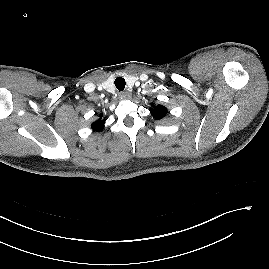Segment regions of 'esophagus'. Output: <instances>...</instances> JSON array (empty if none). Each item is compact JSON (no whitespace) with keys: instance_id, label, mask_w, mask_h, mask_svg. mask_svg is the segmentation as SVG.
I'll return each instance as SVG.
<instances>
[{"instance_id":"obj_1","label":"esophagus","mask_w":269,"mask_h":269,"mask_svg":"<svg viewBox=\"0 0 269 269\" xmlns=\"http://www.w3.org/2000/svg\"><path fill=\"white\" fill-rule=\"evenodd\" d=\"M119 98L121 100H127V99H130L131 98V93L130 92H121L119 94Z\"/></svg>"}]
</instances>
